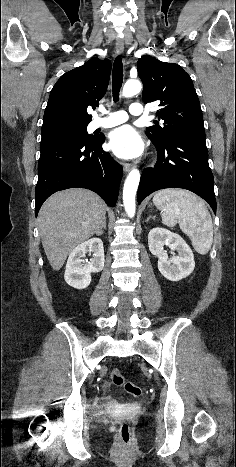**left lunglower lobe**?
I'll use <instances>...</instances> for the list:
<instances>
[{
    "label": "left lung lower lobe",
    "instance_id": "left-lung-lower-lobe-1",
    "mask_svg": "<svg viewBox=\"0 0 236 467\" xmlns=\"http://www.w3.org/2000/svg\"><path fill=\"white\" fill-rule=\"evenodd\" d=\"M154 145L158 159L154 168L142 172L138 203L154 191L183 188L206 200L216 214L214 177L208 164L205 131L178 132L163 144Z\"/></svg>",
    "mask_w": 236,
    "mask_h": 467
}]
</instances>
